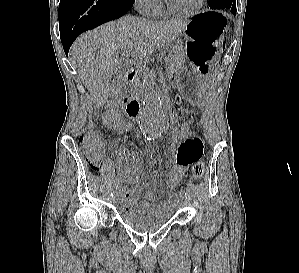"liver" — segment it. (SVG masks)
<instances>
[{"label":"liver","mask_w":299,"mask_h":273,"mask_svg":"<svg viewBox=\"0 0 299 273\" xmlns=\"http://www.w3.org/2000/svg\"><path fill=\"white\" fill-rule=\"evenodd\" d=\"M187 23L126 16L81 35L70 49V59L95 105H103L115 89L112 79L119 65L117 53L136 60L147 58L172 43Z\"/></svg>","instance_id":"1"}]
</instances>
